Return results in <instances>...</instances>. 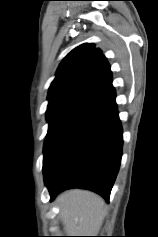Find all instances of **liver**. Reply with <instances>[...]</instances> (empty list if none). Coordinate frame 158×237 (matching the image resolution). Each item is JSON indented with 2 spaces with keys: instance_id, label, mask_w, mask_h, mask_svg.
I'll return each instance as SVG.
<instances>
[{
  "instance_id": "1",
  "label": "liver",
  "mask_w": 158,
  "mask_h": 237,
  "mask_svg": "<svg viewBox=\"0 0 158 237\" xmlns=\"http://www.w3.org/2000/svg\"><path fill=\"white\" fill-rule=\"evenodd\" d=\"M67 236H94L105 217L104 200L87 190L73 189L57 199Z\"/></svg>"
}]
</instances>
